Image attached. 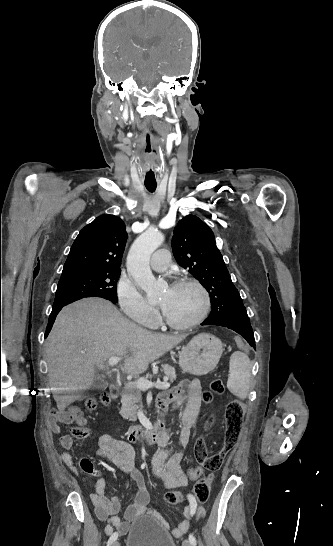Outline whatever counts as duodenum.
Wrapping results in <instances>:
<instances>
[{"instance_id":"1","label":"duodenum","mask_w":333,"mask_h":546,"mask_svg":"<svg viewBox=\"0 0 333 546\" xmlns=\"http://www.w3.org/2000/svg\"><path fill=\"white\" fill-rule=\"evenodd\" d=\"M110 397L112 399H117L119 396V388L116 385H111L110 388ZM165 433V426L163 421L158 420L152 425L149 426H136L131 427L127 431V436L130 442L132 443H152L158 441L159 438Z\"/></svg>"}]
</instances>
